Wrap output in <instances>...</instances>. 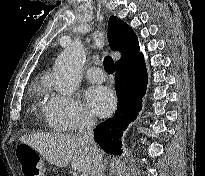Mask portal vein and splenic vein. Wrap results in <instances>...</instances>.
I'll list each match as a JSON object with an SVG mask.
<instances>
[{"mask_svg": "<svg viewBox=\"0 0 205 176\" xmlns=\"http://www.w3.org/2000/svg\"><path fill=\"white\" fill-rule=\"evenodd\" d=\"M80 176H86V174H82V175H80Z\"/></svg>", "mask_w": 205, "mask_h": 176, "instance_id": "portal-vein-and-splenic-vein-1", "label": "portal vein and splenic vein"}]
</instances>
